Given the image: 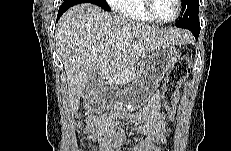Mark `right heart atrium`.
<instances>
[{
	"label": "right heart atrium",
	"instance_id": "right-heart-atrium-1",
	"mask_svg": "<svg viewBox=\"0 0 231 151\" xmlns=\"http://www.w3.org/2000/svg\"><path fill=\"white\" fill-rule=\"evenodd\" d=\"M120 1L121 0H109L108 3L115 8L116 4L119 3Z\"/></svg>",
	"mask_w": 231,
	"mask_h": 151
}]
</instances>
